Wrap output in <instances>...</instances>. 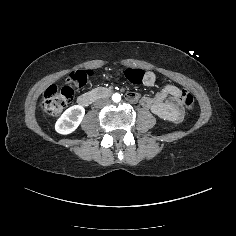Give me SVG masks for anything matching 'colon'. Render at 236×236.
<instances>
[{
    "label": "colon",
    "instance_id": "obj_1",
    "mask_svg": "<svg viewBox=\"0 0 236 236\" xmlns=\"http://www.w3.org/2000/svg\"><path fill=\"white\" fill-rule=\"evenodd\" d=\"M91 75L92 73L89 70L74 71L70 73L67 78L69 85L63 87L53 85L49 87L42 99V110L51 116L59 115L73 99L74 91L72 87H82L86 85ZM125 76L133 84H139L147 78L143 70L133 68L127 69ZM180 100L187 109H191L194 105V97L187 91H181Z\"/></svg>",
    "mask_w": 236,
    "mask_h": 236
}]
</instances>
